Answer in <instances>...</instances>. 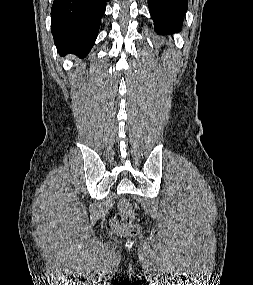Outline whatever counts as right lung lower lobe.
<instances>
[{
    "label": "right lung lower lobe",
    "instance_id": "obj_1",
    "mask_svg": "<svg viewBox=\"0 0 253 285\" xmlns=\"http://www.w3.org/2000/svg\"><path fill=\"white\" fill-rule=\"evenodd\" d=\"M106 0H54L52 34L58 53L86 56L95 43Z\"/></svg>",
    "mask_w": 253,
    "mask_h": 285
}]
</instances>
